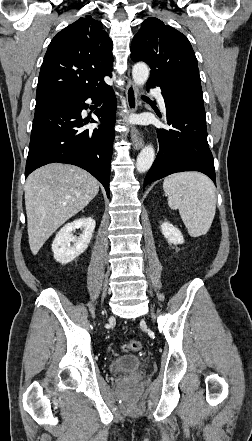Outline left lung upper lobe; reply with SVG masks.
Wrapping results in <instances>:
<instances>
[{
  "label": "left lung upper lobe",
  "instance_id": "1",
  "mask_svg": "<svg viewBox=\"0 0 252 441\" xmlns=\"http://www.w3.org/2000/svg\"><path fill=\"white\" fill-rule=\"evenodd\" d=\"M131 59L150 66L147 84L185 89L203 102L195 53L188 39L176 29L157 18H147L133 38Z\"/></svg>",
  "mask_w": 252,
  "mask_h": 441
}]
</instances>
